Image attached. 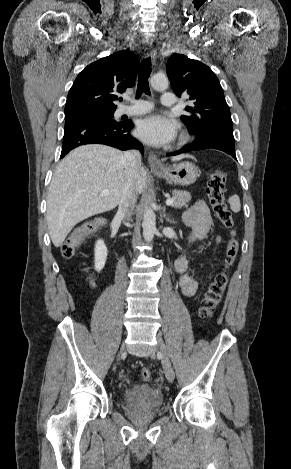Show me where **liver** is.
<instances>
[{
	"mask_svg": "<svg viewBox=\"0 0 291 469\" xmlns=\"http://www.w3.org/2000/svg\"><path fill=\"white\" fill-rule=\"evenodd\" d=\"M123 153L105 145H84L70 152L58 165L48 192L46 220L51 240L60 247L79 222L114 209L121 199L126 170ZM187 156L172 157L179 161ZM147 181L140 166L134 180L137 194ZM109 194L102 196L101 192Z\"/></svg>",
	"mask_w": 291,
	"mask_h": 469,
	"instance_id": "obj_1",
	"label": "liver"
}]
</instances>
